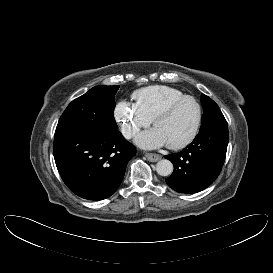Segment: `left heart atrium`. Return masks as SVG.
Returning <instances> with one entry per match:
<instances>
[{
	"mask_svg": "<svg viewBox=\"0 0 273 273\" xmlns=\"http://www.w3.org/2000/svg\"><path fill=\"white\" fill-rule=\"evenodd\" d=\"M135 143L143 149H153L167 144L156 128L139 133L135 138Z\"/></svg>",
	"mask_w": 273,
	"mask_h": 273,
	"instance_id": "39dd6f15",
	"label": "left heart atrium"
}]
</instances>
